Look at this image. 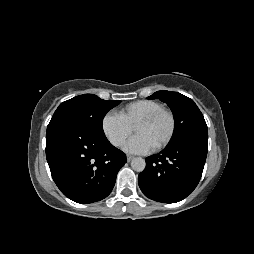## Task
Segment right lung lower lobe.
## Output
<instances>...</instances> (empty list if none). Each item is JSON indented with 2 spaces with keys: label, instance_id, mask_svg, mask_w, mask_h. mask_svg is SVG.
Listing matches in <instances>:
<instances>
[{
  "label": "right lung lower lobe",
  "instance_id": "right-lung-lower-lobe-1",
  "mask_svg": "<svg viewBox=\"0 0 254 254\" xmlns=\"http://www.w3.org/2000/svg\"><path fill=\"white\" fill-rule=\"evenodd\" d=\"M46 158L54 182L69 199L93 203L112 191L126 155L104 133L69 121L49 123Z\"/></svg>",
  "mask_w": 254,
  "mask_h": 254
}]
</instances>
